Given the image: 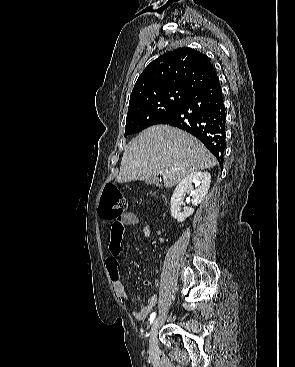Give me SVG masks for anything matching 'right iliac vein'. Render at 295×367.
Instances as JSON below:
<instances>
[{"label": "right iliac vein", "instance_id": "1", "mask_svg": "<svg viewBox=\"0 0 295 367\" xmlns=\"http://www.w3.org/2000/svg\"><path fill=\"white\" fill-rule=\"evenodd\" d=\"M165 312L162 313L160 316H158L155 321L153 322V325L151 327V331H150V339H149V354L151 357H156L157 353H158V339H157V334H158V329L160 326V323L162 322V319L165 316Z\"/></svg>", "mask_w": 295, "mask_h": 367}]
</instances>
